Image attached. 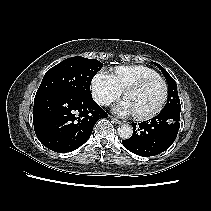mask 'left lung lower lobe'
<instances>
[{
    "label": "left lung lower lobe",
    "mask_w": 211,
    "mask_h": 211,
    "mask_svg": "<svg viewBox=\"0 0 211 211\" xmlns=\"http://www.w3.org/2000/svg\"><path fill=\"white\" fill-rule=\"evenodd\" d=\"M133 135L122 143L132 153L149 157L167 150L175 141L180 127V111L162 110L154 118L134 123Z\"/></svg>",
    "instance_id": "1"
}]
</instances>
